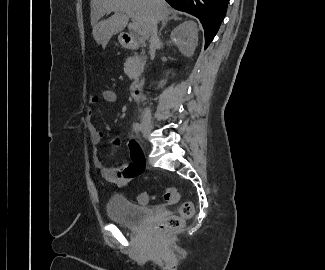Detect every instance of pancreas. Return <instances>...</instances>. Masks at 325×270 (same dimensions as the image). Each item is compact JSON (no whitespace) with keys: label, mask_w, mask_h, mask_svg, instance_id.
Returning a JSON list of instances; mask_svg holds the SVG:
<instances>
[{"label":"pancreas","mask_w":325,"mask_h":270,"mask_svg":"<svg viewBox=\"0 0 325 270\" xmlns=\"http://www.w3.org/2000/svg\"><path fill=\"white\" fill-rule=\"evenodd\" d=\"M146 64V58L141 55L138 58H128L124 64V71L128 77L132 80L138 77L143 71Z\"/></svg>","instance_id":"pancreas-1"}]
</instances>
